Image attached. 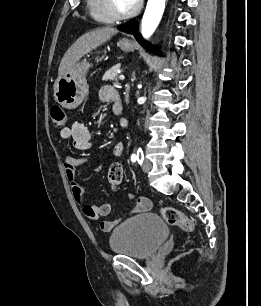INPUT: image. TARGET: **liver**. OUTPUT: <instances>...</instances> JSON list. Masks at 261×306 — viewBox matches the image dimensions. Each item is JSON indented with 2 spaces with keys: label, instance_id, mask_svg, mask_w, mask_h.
Masks as SVG:
<instances>
[{
  "label": "liver",
  "instance_id": "6515ba94",
  "mask_svg": "<svg viewBox=\"0 0 261 306\" xmlns=\"http://www.w3.org/2000/svg\"><path fill=\"white\" fill-rule=\"evenodd\" d=\"M117 29L104 27L92 30L79 37L64 54L58 69V77L64 76L85 54L117 34Z\"/></svg>",
  "mask_w": 261,
  "mask_h": 306
}]
</instances>
